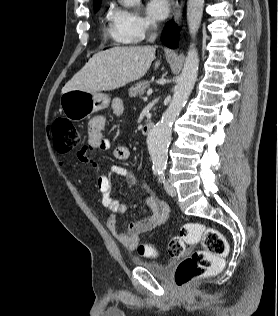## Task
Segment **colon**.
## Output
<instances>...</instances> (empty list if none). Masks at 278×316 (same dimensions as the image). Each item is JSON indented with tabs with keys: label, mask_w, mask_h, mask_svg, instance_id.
I'll use <instances>...</instances> for the list:
<instances>
[{
	"label": "colon",
	"mask_w": 278,
	"mask_h": 316,
	"mask_svg": "<svg viewBox=\"0 0 278 316\" xmlns=\"http://www.w3.org/2000/svg\"><path fill=\"white\" fill-rule=\"evenodd\" d=\"M51 131L54 148L59 153L69 152L85 140L82 130L63 118L53 122ZM193 243H201L203 248L179 262L175 271V282L180 288L187 287L198 278L220 271L228 253L227 241L217 229L195 222L185 224L180 234L170 240L168 252L172 257H181L186 244ZM138 251L141 255H157L156 250L148 245H141Z\"/></svg>",
	"instance_id": "colon-1"
}]
</instances>
